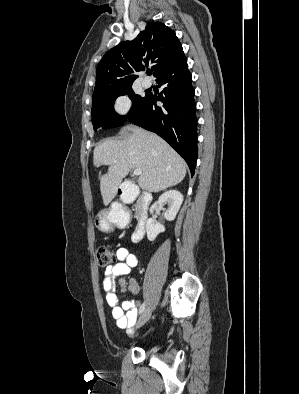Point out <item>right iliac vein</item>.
<instances>
[{"instance_id":"right-iliac-vein-1","label":"right iliac vein","mask_w":299,"mask_h":394,"mask_svg":"<svg viewBox=\"0 0 299 394\" xmlns=\"http://www.w3.org/2000/svg\"><path fill=\"white\" fill-rule=\"evenodd\" d=\"M151 317V310L149 308L145 309L141 316L139 317L137 323H136V328L142 327L144 324L147 323V321Z\"/></svg>"}]
</instances>
